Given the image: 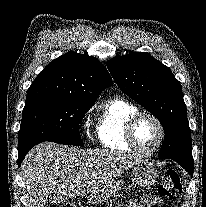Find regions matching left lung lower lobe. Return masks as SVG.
Instances as JSON below:
<instances>
[{
  "instance_id": "left-lung-lower-lobe-1",
  "label": "left lung lower lobe",
  "mask_w": 206,
  "mask_h": 207,
  "mask_svg": "<svg viewBox=\"0 0 206 207\" xmlns=\"http://www.w3.org/2000/svg\"><path fill=\"white\" fill-rule=\"evenodd\" d=\"M179 164L192 176L193 175V166L189 163L179 162Z\"/></svg>"
}]
</instances>
